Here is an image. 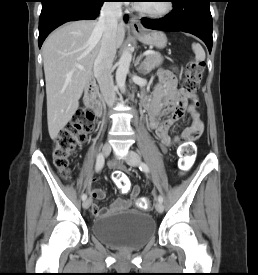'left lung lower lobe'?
<instances>
[{
    "instance_id": "1",
    "label": "left lung lower lobe",
    "mask_w": 258,
    "mask_h": 275,
    "mask_svg": "<svg viewBox=\"0 0 258 275\" xmlns=\"http://www.w3.org/2000/svg\"><path fill=\"white\" fill-rule=\"evenodd\" d=\"M211 0H172L173 11L160 20L143 18L142 24L150 29L165 31H183L196 35L212 49Z\"/></svg>"
}]
</instances>
